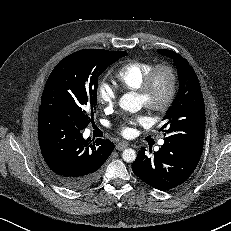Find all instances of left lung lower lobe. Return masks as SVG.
<instances>
[{"mask_svg":"<svg viewBox=\"0 0 231 231\" xmlns=\"http://www.w3.org/2000/svg\"><path fill=\"white\" fill-rule=\"evenodd\" d=\"M203 147L165 142L153 158L142 148L132 164L134 174L155 189L166 191L185 182L195 170Z\"/></svg>","mask_w":231,"mask_h":231,"instance_id":"1","label":"left lung lower lobe"}]
</instances>
